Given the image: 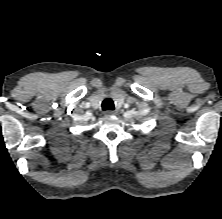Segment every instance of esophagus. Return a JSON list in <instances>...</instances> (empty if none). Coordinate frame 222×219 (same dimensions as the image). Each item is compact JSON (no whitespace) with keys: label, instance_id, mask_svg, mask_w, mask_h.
<instances>
[{"label":"esophagus","instance_id":"34e87169","mask_svg":"<svg viewBox=\"0 0 222 219\" xmlns=\"http://www.w3.org/2000/svg\"><path fill=\"white\" fill-rule=\"evenodd\" d=\"M114 114H115V112L112 111V110H108V111H106V112L104 113L105 117H111V116H113Z\"/></svg>","mask_w":222,"mask_h":219}]
</instances>
